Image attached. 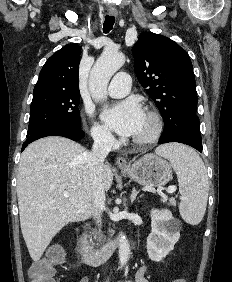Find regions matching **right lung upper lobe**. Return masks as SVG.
I'll return each mask as SVG.
<instances>
[{
  "label": "right lung upper lobe",
  "mask_w": 232,
  "mask_h": 282,
  "mask_svg": "<svg viewBox=\"0 0 232 282\" xmlns=\"http://www.w3.org/2000/svg\"><path fill=\"white\" fill-rule=\"evenodd\" d=\"M81 49L77 43L55 52L44 64L34 93L43 91L79 92L78 67Z\"/></svg>",
  "instance_id": "cb5924a9"
}]
</instances>
